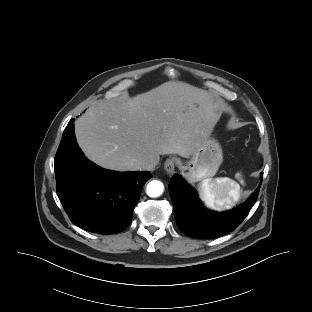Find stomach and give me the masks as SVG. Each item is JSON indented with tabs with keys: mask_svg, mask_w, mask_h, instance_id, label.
Instances as JSON below:
<instances>
[{
	"mask_svg": "<svg viewBox=\"0 0 312 312\" xmlns=\"http://www.w3.org/2000/svg\"><path fill=\"white\" fill-rule=\"evenodd\" d=\"M223 161L222 149L218 141L209 137L182 166L190 182L212 178Z\"/></svg>",
	"mask_w": 312,
	"mask_h": 312,
	"instance_id": "1",
	"label": "stomach"
}]
</instances>
